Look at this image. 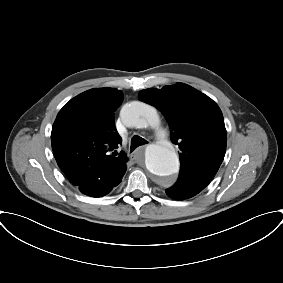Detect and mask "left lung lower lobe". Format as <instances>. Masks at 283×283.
Instances as JSON below:
<instances>
[{
	"mask_svg": "<svg viewBox=\"0 0 283 283\" xmlns=\"http://www.w3.org/2000/svg\"><path fill=\"white\" fill-rule=\"evenodd\" d=\"M206 186L182 175L174 186L166 190V194L173 199L183 200L195 196Z\"/></svg>",
	"mask_w": 283,
	"mask_h": 283,
	"instance_id": "1",
	"label": "left lung lower lobe"
}]
</instances>
